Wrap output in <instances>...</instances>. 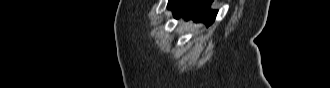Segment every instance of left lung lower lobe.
<instances>
[{
	"mask_svg": "<svg viewBox=\"0 0 330 88\" xmlns=\"http://www.w3.org/2000/svg\"><path fill=\"white\" fill-rule=\"evenodd\" d=\"M213 0H169L167 8L172 9L175 16H189L197 21L211 25L216 17L217 11L210 10Z\"/></svg>",
	"mask_w": 330,
	"mask_h": 88,
	"instance_id": "1",
	"label": "left lung lower lobe"
}]
</instances>
